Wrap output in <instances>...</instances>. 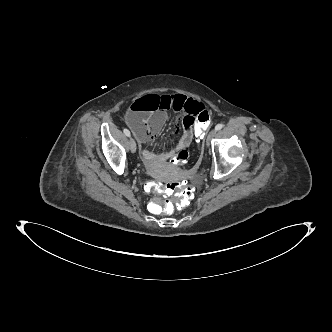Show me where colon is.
<instances>
[{
    "label": "colon",
    "instance_id": "1",
    "mask_svg": "<svg viewBox=\"0 0 332 332\" xmlns=\"http://www.w3.org/2000/svg\"><path fill=\"white\" fill-rule=\"evenodd\" d=\"M210 123V113L206 110L200 112L196 117L194 128L192 130L193 144L197 148H202L206 144V135L208 124ZM193 149L190 146H184L181 151L176 152L169 159V164L173 168H178L181 164H187L191 160ZM144 189L148 193L160 194L168 197L176 193L177 200L175 203L170 201L162 203L159 200H153L152 206L159 213H172L175 208H185L189 205L193 196V187L186 179H179L166 184L151 183L145 184Z\"/></svg>",
    "mask_w": 332,
    "mask_h": 332
}]
</instances>
